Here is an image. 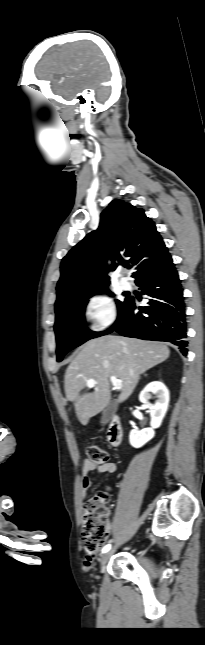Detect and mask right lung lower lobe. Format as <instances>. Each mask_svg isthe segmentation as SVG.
<instances>
[{"label":"right lung lower lobe","mask_w":205,"mask_h":645,"mask_svg":"<svg viewBox=\"0 0 205 645\" xmlns=\"http://www.w3.org/2000/svg\"><path fill=\"white\" fill-rule=\"evenodd\" d=\"M134 278L142 294L151 297L149 302L135 313V300L128 298L113 327L100 336L116 330L126 337L170 342L186 356L188 341L183 288L171 256L151 265Z\"/></svg>","instance_id":"obj_1"}]
</instances>
